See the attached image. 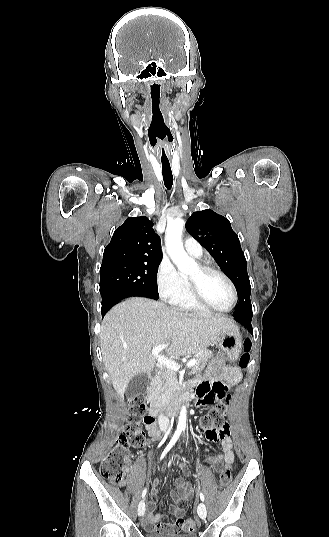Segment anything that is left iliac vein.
Returning <instances> with one entry per match:
<instances>
[{
  "label": "left iliac vein",
  "instance_id": "left-iliac-vein-1",
  "mask_svg": "<svg viewBox=\"0 0 329 537\" xmlns=\"http://www.w3.org/2000/svg\"><path fill=\"white\" fill-rule=\"evenodd\" d=\"M197 513L199 515V517L203 520H205L206 516H207V510H206V506L204 503H200L198 505V508H197Z\"/></svg>",
  "mask_w": 329,
  "mask_h": 537
}]
</instances>
